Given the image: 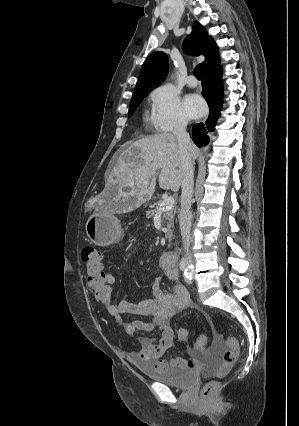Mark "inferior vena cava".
Here are the masks:
<instances>
[{
	"label": "inferior vena cava",
	"instance_id": "inferior-vena-cava-1",
	"mask_svg": "<svg viewBox=\"0 0 299 426\" xmlns=\"http://www.w3.org/2000/svg\"><path fill=\"white\" fill-rule=\"evenodd\" d=\"M188 121L182 119L178 122L174 129V136L182 149L181 168H182V183H181V200L179 210V225L181 230L182 242L186 251V260L191 262L190 248V231H191V204L193 197L194 185V169L190 155V137L186 131Z\"/></svg>",
	"mask_w": 299,
	"mask_h": 426
}]
</instances>
